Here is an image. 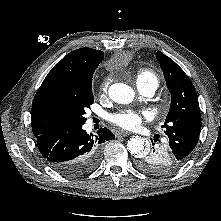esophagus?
Instances as JSON below:
<instances>
[{"mask_svg":"<svg viewBox=\"0 0 221 221\" xmlns=\"http://www.w3.org/2000/svg\"><path fill=\"white\" fill-rule=\"evenodd\" d=\"M129 135H131V133H130V132H127V131H118V132L116 133V136H121V137H127V136H129Z\"/></svg>","mask_w":221,"mask_h":221,"instance_id":"obj_1","label":"esophagus"}]
</instances>
